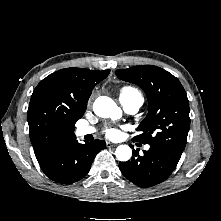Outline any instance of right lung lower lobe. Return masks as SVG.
Listing matches in <instances>:
<instances>
[{
  "mask_svg": "<svg viewBox=\"0 0 221 221\" xmlns=\"http://www.w3.org/2000/svg\"><path fill=\"white\" fill-rule=\"evenodd\" d=\"M104 148L106 144L103 140L80 144L74 138L39 161V165L51 180L61 184H71L89 172L96 154Z\"/></svg>",
  "mask_w": 221,
  "mask_h": 221,
  "instance_id": "right-lung-lower-lobe-1",
  "label": "right lung lower lobe"
}]
</instances>
